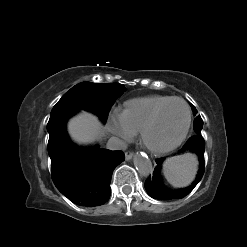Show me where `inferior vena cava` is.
I'll use <instances>...</instances> for the list:
<instances>
[{"instance_id":"obj_1","label":"inferior vena cava","mask_w":247,"mask_h":247,"mask_svg":"<svg viewBox=\"0 0 247 247\" xmlns=\"http://www.w3.org/2000/svg\"><path fill=\"white\" fill-rule=\"evenodd\" d=\"M127 144L117 138V137H111L107 142V149L109 150H126Z\"/></svg>"}]
</instances>
